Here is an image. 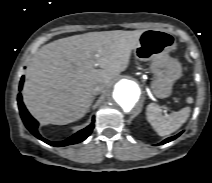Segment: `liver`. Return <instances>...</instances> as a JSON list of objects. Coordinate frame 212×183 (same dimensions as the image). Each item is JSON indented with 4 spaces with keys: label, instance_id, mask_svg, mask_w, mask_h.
Wrapping results in <instances>:
<instances>
[{
    "label": "liver",
    "instance_id": "obj_1",
    "mask_svg": "<svg viewBox=\"0 0 212 183\" xmlns=\"http://www.w3.org/2000/svg\"><path fill=\"white\" fill-rule=\"evenodd\" d=\"M143 32H90L42 46L28 67L23 87L29 112L44 124L65 125L82 118L94 87L107 86L128 68Z\"/></svg>",
    "mask_w": 212,
    "mask_h": 183
}]
</instances>
